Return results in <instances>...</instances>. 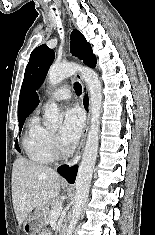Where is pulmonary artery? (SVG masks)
Segmentation results:
<instances>
[{
	"label": "pulmonary artery",
	"mask_w": 155,
	"mask_h": 235,
	"mask_svg": "<svg viewBox=\"0 0 155 235\" xmlns=\"http://www.w3.org/2000/svg\"><path fill=\"white\" fill-rule=\"evenodd\" d=\"M72 93L68 86H62L52 94L51 98L54 101H63L71 97Z\"/></svg>",
	"instance_id": "pulmonary-artery-1"
}]
</instances>
